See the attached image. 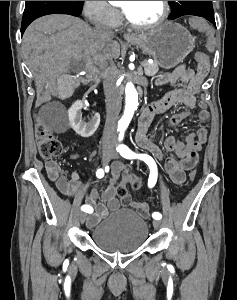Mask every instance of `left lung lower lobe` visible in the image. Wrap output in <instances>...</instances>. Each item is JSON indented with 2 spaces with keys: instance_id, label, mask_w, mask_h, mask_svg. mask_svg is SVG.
<instances>
[{
  "instance_id": "left-lung-lower-lobe-1",
  "label": "left lung lower lobe",
  "mask_w": 237,
  "mask_h": 300,
  "mask_svg": "<svg viewBox=\"0 0 237 300\" xmlns=\"http://www.w3.org/2000/svg\"><path fill=\"white\" fill-rule=\"evenodd\" d=\"M204 18L210 21L216 27L214 15H206Z\"/></svg>"
}]
</instances>
